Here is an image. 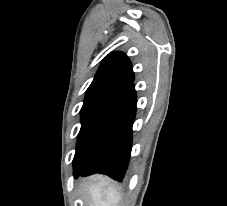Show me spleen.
<instances>
[{"label":"spleen","instance_id":"1","mask_svg":"<svg viewBox=\"0 0 227 206\" xmlns=\"http://www.w3.org/2000/svg\"><path fill=\"white\" fill-rule=\"evenodd\" d=\"M86 189L93 203L91 206H118L121 200L118 189L106 179L98 185L89 184Z\"/></svg>","mask_w":227,"mask_h":206}]
</instances>
